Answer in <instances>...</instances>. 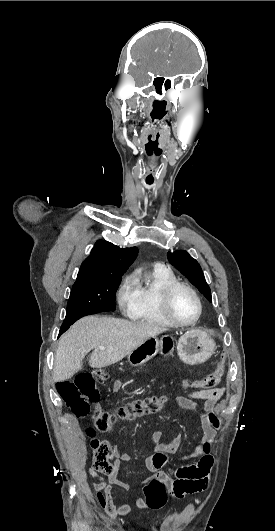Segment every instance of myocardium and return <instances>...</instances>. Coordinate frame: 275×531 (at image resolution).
Instances as JSON below:
<instances>
[{"instance_id":"obj_1","label":"myocardium","mask_w":275,"mask_h":531,"mask_svg":"<svg viewBox=\"0 0 275 531\" xmlns=\"http://www.w3.org/2000/svg\"><path fill=\"white\" fill-rule=\"evenodd\" d=\"M179 288L187 290L194 297V299H195V301L197 303V307H198L197 315H196V317L193 320H191L189 322H182V321L177 320L175 318V316L173 315V313L171 311V308H170L171 297H172L173 293ZM160 306H161V310H162L164 316L173 325H175L177 327H188V326H192V325L196 324L200 320V318L202 316V313H203V305H202L201 299H200L198 293L196 292V290L193 287H191L190 285H188L187 283L180 282V281H174L172 283H169L168 285H166L162 289V293H161V297H160Z\"/></svg>"}]
</instances>
